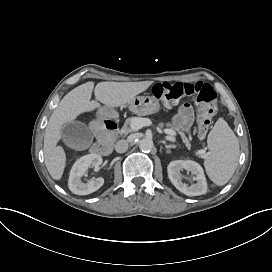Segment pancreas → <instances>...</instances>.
Wrapping results in <instances>:
<instances>
[{"label": "pancreas", "mask_w": 272, "mask_h": 272, "mask_svg": "<svg viewBox=\"0 0 272 272\" xmlns=\"http://www.w3.org/2000/svg\"><path fill=\"white\" fill-rule=\"evenodd\" d=\"M133 118L134 117H130V118L126 119L122 129L119 132L120 134L127 135V134H129L130 132L133 131V129L131 128V123H132ZM171 129L173 130L174 128H171ZM178 133L180 134V136L182 138V141L185 144V146L187 147V149L190 150L191 149V144H190L187 136L185 135V133L183 131H178Z\"/></svg>", "instance_id": "pancreas-1"}]
</instances>
